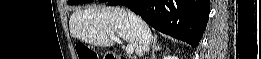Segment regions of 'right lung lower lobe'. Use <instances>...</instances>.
Listing matches in <instances>:
<instances>
[{"label": "right lung lower lobe", "instance_id": "98d812e1", "mask_svg": "<svg viewBox=\"0 0 261 59\" xmlns=\"http://www.w3.org/2000/svg\"><path fill=\"white\" fill-rule=\"evenodd\" d=\"M108 5H126L158 31L197 47L210 0H108Z\"/></svg>", "mask_w": 261, "mask_h": 59}]
</instances>
